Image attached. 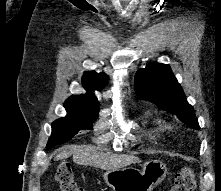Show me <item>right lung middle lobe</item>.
<instances>
[{"mask_svg":"<svg viewBox=\"0 0 221 191\" xmlns=\"http://www.w3.org/2000/svg\"><path fill=\"white\" fill-rule=\"evenodd\" d=\"M66 117L55 120L52 123V134L46 149L58 144H63L72 139L80 130H91L92 123L97 118V113L67 110Z\"/></svg>","mask_w":221,"mask_h":191,"instance_id":"right-lung-middle-lobe-1","label":"right lung middle lobe"}]
</instances>
